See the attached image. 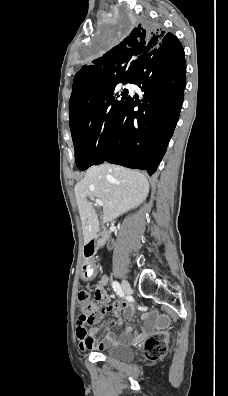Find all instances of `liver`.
<instances>
[{
	"mask_svg": "<svg viewBox=\"0 0 228 396\" xmlns=\"http://www.w3.org/2000/svg\"><path fill=\"white\" fill-rule=\"evenodd\" d=\"M74 191L87 244L99 231L97 214L87 197L103 202V223H109L146 199L149 182L140 172L105 163L90 167Z\"/></svg>",
	"mask_w": 228,
	"mask_h": 396,
	"instance_id": "liver-1",
	"label": "liver"
}]
</instances>
